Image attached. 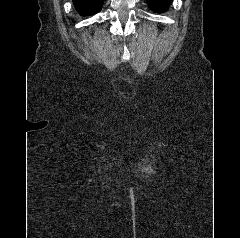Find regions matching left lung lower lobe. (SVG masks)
<instances>
[{"instance_id": "obj_1", "label": "left lung lower lobe", "mask_w": 240, "mask_h": 238, "mask_svg": "<svg viewBox=\"0 0 240 238\" xmlns=\"http://www.w3.org/2000/svg\"><path fill=\"white\" fill-rule=\"evenodd\" d=\"M149 7L154 12H164L171 4L172 0H146Z\"/></svg>"}]
</instances>
